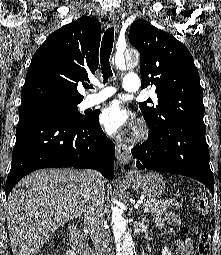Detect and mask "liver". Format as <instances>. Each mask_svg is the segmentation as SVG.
<instances>
[{
	"label": "liver",
	"mask_w": 221,
	"mask_h": 255,
	"mask_svg": "<svg viewBox=\"0 0 221 255\" xmlns=\"http://www.w3.org/2000/svg\"><path fill=\"white\" fill-rule=\"evenodd\" d=\"M94 182L91 170L51 168L24 177L6 203L13 254L36 255L59 226L81 215Z\"/></svg>",
	"instance_id": "1"
}]
</instances>
